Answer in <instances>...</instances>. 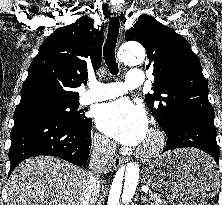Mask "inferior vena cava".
<instances>
[{"mask_svg": "<svg viewBox=\"0 0 222 205\" xmlns=\"http://www.w3.org/2000/svg\"><path fill=\"white\" fill-rule=\"evenodd\" d=\"M116 145L107 138L94 141V149L89 162V178L84 188L80 205H94L99 193L101 175L108 173L113 164Z\"/></svg>", "mask_w": 222, "mask_h": 205, "instance_id": "1", "label": "inferior vena cava"}]
</instances>
